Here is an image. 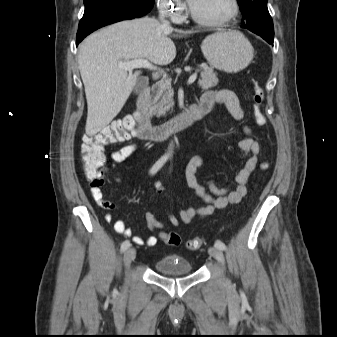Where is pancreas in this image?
I'll return each instance as SVG.
<instances>
[{"label":"pancreas","mask_w":337,"mask_h":337,"mask_svg":"<svg viewBox=\"0 0 337 337\" xmlns=\"http://www.w3.org/2000/svg\"><path fill=\"white\" fill-rule=\"evenodd\" d=\"M200 67L202 71L201 79L198 81L199 86L203 90L216 86L219 80L213 68L206 64H203ZM172 97L173 91L171 83L168 80L161 81L154 89L152 112L157 114V116L165 115L174 105Z\"/></svg>","instance_id":"1"}]
</instances>
